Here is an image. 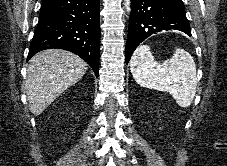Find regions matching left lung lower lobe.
Wrapping results in <instances>:
<instances>
[{
  "label": "left lung lower lobe",
  "mask_w": 227,
  "mask_h": 166,
  "mask_svg": "<svg viewBox=\"0 0 227 166\" xmlns=\"http://www.w3.org/2000/svg\"><path fill=\"white\" fill-rule=\"evenodd\" d=\"M131 9L126 63L141 42L158 32L179 30L191 36L182 0H131Z\"/></svg>",
  "instance_id": "obj_1"
}]
</instances>
